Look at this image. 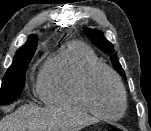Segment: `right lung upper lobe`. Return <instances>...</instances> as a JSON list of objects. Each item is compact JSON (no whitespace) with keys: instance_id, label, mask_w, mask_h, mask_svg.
<instances>
[{"instance_id":"cb5924a9","label":"right lung upper lobe","mask_w":151,"mask_h":131,"mask_svg":"<svg viewBox=\"0 0 151 131\" xmlns=\"http://www.w3.org/2000/svg\"><path fill=\"white\" fill-rule=\"evenodd\" d=\"M37 43H38L37 35L32 34V35L29 36L27 42L22 47L32 46V45L37 44Z\"/></svg>"}]
</instances>
